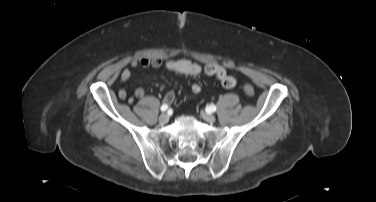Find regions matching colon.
Instances as JSON below:
<instances>
[{
    "label": "colon",
    "instance_id": "colon-1",
    "mask_svg": "<svg viewBox=\"0 0 376 202\" xmlns=\"http://www.w3.org/2000/svg\"><path fill=\"white\" fill-rule=\"evenodd\" d=\"M243 91L248 96H253L255 93V89L251 84H245L243 86Z\"/></svg>",
    "mask_w": 376,
    "mask_h": 202
}]
</instances>
